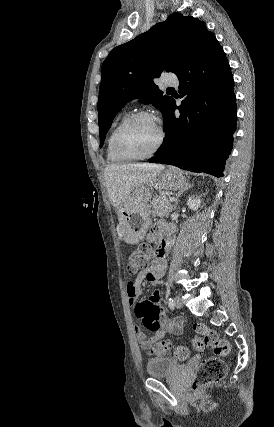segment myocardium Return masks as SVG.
I'll list each match as a JSON object with an SVG mask.
<instances>
[{
    "mask_svg": "<svg viewBox=\"0 0 274 427\" xmlns=\"http://www.w3.org/2000/svg\"><path fill=\"white\" fill-rule=\"evenodd\" d=\"M139 118H149L154 120L160 129V138L159 142L156 145V147L148 154L143 156H134L130 155L127 152H125L121 146V135L122 132L125 130L126 127H128L132 122ZM166 142V131L164 127L158 122L157 118L150 112L147 111H138L136 113H133L129 115L127 118H125L116 128L113 138H112V144L115 152L125 161H143L153 158L156 154L159 153V151L163 148L164 144Z\"/></svg>",
    "mask_w": 274,
    "mask_h": 427,
    "instance_id": "1",
    "label": "myocardium"
}]
</instances>
